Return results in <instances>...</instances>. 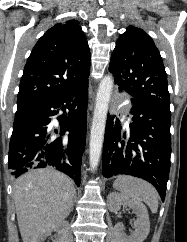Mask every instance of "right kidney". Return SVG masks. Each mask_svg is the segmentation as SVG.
Segmentation results:
<instances>
[{"label":"right kidney","instance_id":"ca27d5eb","mask_svg":"<svg viewBox=\"0 0 187 242\" xmlns=\"http://www.w3.org/2000/svg\"><path fill=\"white\" fill-rule=\"evenodd\" d=\"M67 229H68V223L66 221H61L59 224H57L56 226H54L52 230H54V231H56L58 233V237L53 242H63V237H64V234L66 233ZM51 231H48L44 235H42L41 237H39V239L37 240V242H43L44 239L48 235H50Z\"/></svg>","mask_w":187,"mask_h":242}]
</instances>
